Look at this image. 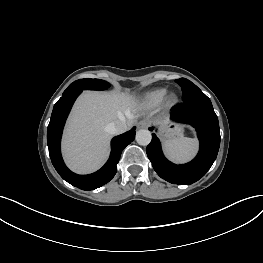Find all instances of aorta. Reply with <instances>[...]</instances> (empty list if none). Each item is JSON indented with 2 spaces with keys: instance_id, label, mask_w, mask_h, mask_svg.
<instances>
[{
  "instance_id": "aorta-1",
  "label": "aorta",
  "mask_w": 263,
  "mask_h": 263,
  "mask_svg": "<svg viewBox=\"0 0 263 263\" xmlns=\"http://www.w3.org/2000/svg\"><path fill=\"white\" fill-rule=\"evenodd\" d=\"M151 132L147 129H140L136 133V141L139 145L146 146L151 142Z\"/></svg>"
}]
</instances>
